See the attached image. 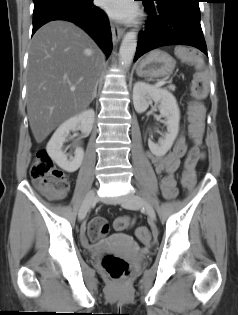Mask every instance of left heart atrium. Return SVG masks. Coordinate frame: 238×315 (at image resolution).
<instances>
[{
	"label": "left heart atrium",
	"mask_w": 238,
	"mask_h": 315,
	"mask_svg": "<svg viewBox=\"0 0 238 315\" xmlns=\"http://www.w3.org/2000/svg\"><path fill=\"white\" fill-rule=\"evenodd\" d=\"M102 8L117 20L128 21L136 15V8L131 0H99Z\"/></svg>",
	"instance_id": "left-heart-atrium-1"
}]
</instances>
